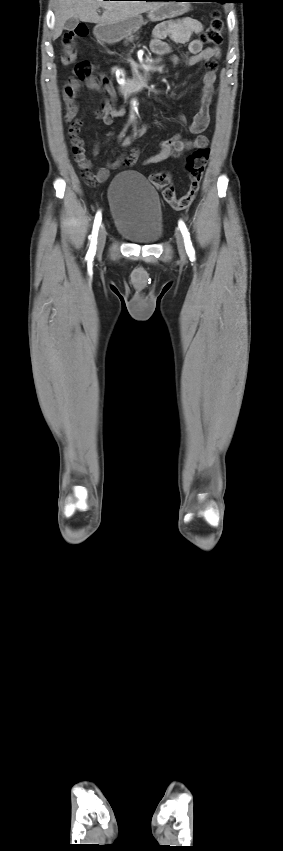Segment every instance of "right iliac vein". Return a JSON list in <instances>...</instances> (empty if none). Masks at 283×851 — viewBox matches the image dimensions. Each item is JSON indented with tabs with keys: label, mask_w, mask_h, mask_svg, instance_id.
Returning <instances> with one entry per match:
<instances>
[{
	"label": "right iliac vein",
	"mask_w": 283,
	"mask_h": 851,
	"mask_svg": "<svg viewBox=\"0 0 283 851\" xmlns=\"http://www.w3.org/2000/svg\"><path fill=\"white\" fill-rule=\"evenodd\" d=\"M106 234H107V232H106L105 227L103 225H101L100 230H99V234H98V240H97V251L99 253L102 252V250L104 248L105 241H106Z\"/></svg>",
	"instance_id": "right-iliac-vein-1"
}]
</instances>
